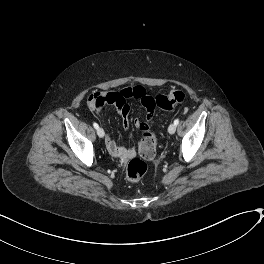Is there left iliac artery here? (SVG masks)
Here are the masks:
<instances>
[{"instance_id": "obj_1", "label": "left iliac artery", "mask_w": 264, "mask_h": 264, "mask_svg": "<svg viewBox=\"0 0 264 264\" xmlns=\"http://www.w3.org/2000/svg\"><path fill=\"white\" fill-rule=\"evenodd\" d=\"M174 124L177 126V125L179 124V119H176V120L174 121Z\"/></svg>"}]
</instances>
